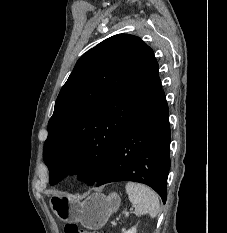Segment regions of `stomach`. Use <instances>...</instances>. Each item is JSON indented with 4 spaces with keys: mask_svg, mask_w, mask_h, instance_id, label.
I'll use <instances>...</instances> for the list:
<instances>
[{
    "mask_svg": "<svg viewBox=\"0 0 227 233\" xmlns=\"http://www.w3.org/2000/svg\"><path fill=\"white\" fill-rule=\"evenodd\" d=\"M121 203L118 194L105 196L96 193L80 202L69 196L55 194L51 197V208L64 222H80L92 230L102 228Z\"/></svg>",
    "mask_w": 227,
    "mask_h": 233,
    "instance_id": "0dacf381",
    "label": "stomach"
}]
</instances>
